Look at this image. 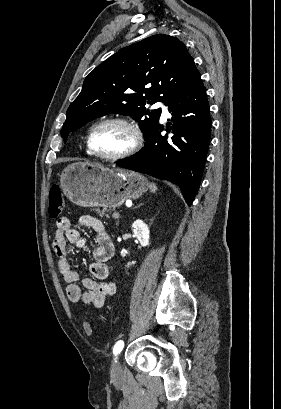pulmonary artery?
<instances>
[{"label":"pulmonary artery","mask_w":281,"mask_h":409,"mask_svg":"<svg viewBox=\"0 0 281 409\" xmlns=\"http://www.w3.org/2000/svg\"><path fill=\"white\" fill-rule=\"evenodd\" d=\"M157 106H158V107H161V109H162V116H163L164 118L170 117V112H169L167 106H165V105H163V104H161V103H157Z\"/></svg>","instance_id":"1"}]
</instances>
